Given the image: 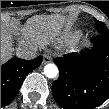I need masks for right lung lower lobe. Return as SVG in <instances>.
Masks as SVG:
<instances>
[{
	"label": "right lung lower lobe",
	"mask_w": 109,
	"mask_h": 109,
	"mask_svg": "<svg viewBox=\"0 0 109 109\" xmlns=\"http://www.w3.org/2000/svg\"><path fill=\"white\" fill-rule=\"evenodd\" d=\"M42 59V56L32 60L12 58L1 65V107L13 101L26 75L40 66Z\"/></svg>",
	"instance_id": "right-lung-lower-lobe-1"
}]
</instances>
